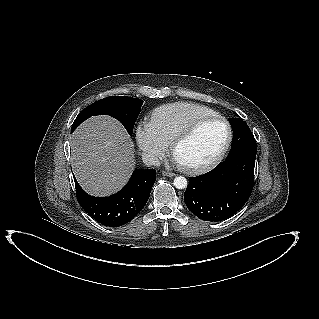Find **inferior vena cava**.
<instances>
[{"label": "inferior vena cava", "instance_id": "602c4592", "mask_svg": "<svg viewBox=\"0 0 319 319\" xmlns=\"http://www.w3.org/2000/svg\"><path fill=\"white\" fill-rule=\"evenodd\" d=\"M142 160L147 166H160V160L152 154L144 153Z\"/></svg>", "mask_w": 319, "mask_h": 319}]
</instances>
